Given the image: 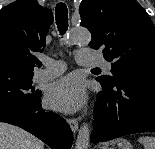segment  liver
Returning a JSON list of instances; mask_svg holds the SVG:
<instances>
[{
  "label": "liver",
  "instance_id": "1",
  "mask_svg": "<svg viewBox=\"0 0 155 149\" xmlns=\"http://www.w3.org/2000/svg\"><path fill=\"white\" fill-rule=\"evenodd\" d=\"M0 149H44V143L17 126L0 122Z\"/></svg>",
  "mask_w": 155,
  "mask_h": 149
}]
</instances>
